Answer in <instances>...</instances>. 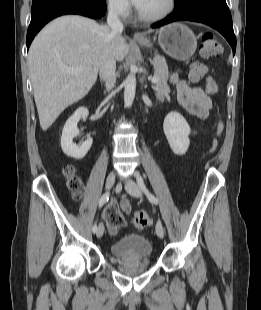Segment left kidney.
Wrapping results in <instances>:
<instances>
[{
    "mask_svg": "<svg viewBox=\"0 0 261 310\" xmlns=\"http://www.w3.org/2000/svg\"><path fill=\"white\" fill-rule=\"evenodd\" d=\"M164 134L176 155H184L189 147L191 129L185 118L178 112H170L164 119Z\"/></svg>",
    "mask_w": 261,
    "mask_h": 310,
    "instance_id": "left-kidney-1",
    "label": "left kidney"
}]
</instances>
